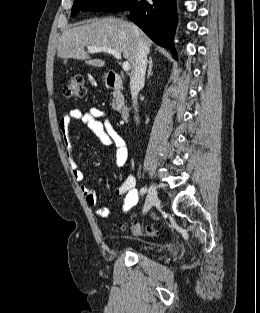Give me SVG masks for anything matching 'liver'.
<instances>
[{"mask_svg":"<svg viewBox=\"0 0 260 313\" xmlns=\"http://www.w3.org/2000/svg\"><path fill=\"white\" fill-rule=\"evenodd\" d=\"M138 33L136 35L133 24L120 18L89 20L62 33L57 47V56L61 59L85 60L88 65L103 67L105 61L91 59L85 47L106 46L122 53L130 63L133 72L137 40L141 38L148 51L152 46V41L144 32L138 29Z\"/></svg>","mask_w":260,"mask_h":313,"instance_id":"obj_1","label":"liver"}]
</instances>
